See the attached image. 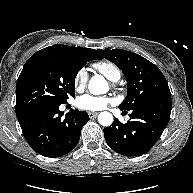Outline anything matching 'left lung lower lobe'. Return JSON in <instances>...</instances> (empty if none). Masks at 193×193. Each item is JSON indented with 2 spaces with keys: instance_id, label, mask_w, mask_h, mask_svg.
Masks as SVG:
<instances>
[{
  "instance_id": "left-lung-lower-lobe-1",
  "label": "left lung lower lobe",
  "mask_w": 193,
  "mask_h": 193,
  "mask_svg": "<svg viewBox=\"0 0 193 193\" xmlns=\"http://www.w3.org/2000/svg\"><path fill=\"white\" fill-rule=\"evenodd\" d=\"M171 107V95H166L130 110L131 121L123 124L116 119L104 129L107 144L115 152L125 156L147 153L167 126Z\"/></svg>"
}]
</instances>
